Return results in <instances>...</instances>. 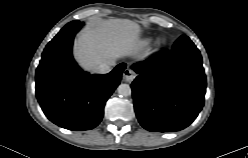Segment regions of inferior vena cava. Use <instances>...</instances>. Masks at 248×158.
<instances>
[{
	"instance_id": "1",
	"label": "inferior vena cava",
	"mask_w": 248,
	"mask_h": 158,
	"mask_svg": "<svg viewBox=\"0 0 248 158\" xmlns=\"http://www.w3.org/2000/svg\"><path fill=\"white\" fill-rule=\"evenodd\" d=\"M113 66H115V61L102 63L97 67V73H100V74L109 73L112 70Z\"/></svg>"
}]
</instances>
